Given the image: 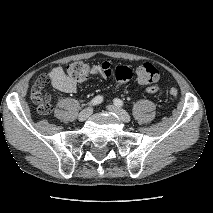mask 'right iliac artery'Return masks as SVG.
Masks as SVG:
<instances>
[{
    "instance_id": "82829eb1",
    "label": "right iliac artery",
    "mask_w": 213,
    "mask_h": 213,
    "mask_svg": "<svg viewBox=\"0 0 213 213\" xmlns=\"http://www.w3.org/2000/svg\"><path fill=\"white\" fill-rule=\"evenodd\" d=\"M102 101H103V97L100 96V95H98V96H96L95 98H93V99L88 103V105H89V106H95V105L100 104Z\"/></svg>"
}]
</instances>
